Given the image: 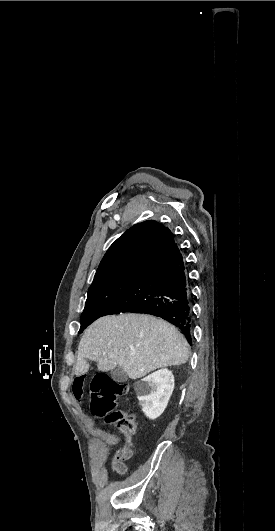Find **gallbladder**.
Segmentation results:
<instances>
[{
	"instance_id": "bac80fb5",
	"label": "gallbladder",
	"mask_w": 275,
	"mask_h": 531,
	"mask_svg": "<svg viewBox=\"0 0 275 531\" xmlns=\"http://www.w3.org/2000/svg\"><path fill=\"white\" fill-rule=\"evenodd\" d=\"M110 377L113 381H116V383H126L128 379L127 373H125L124 369H121L119 365H117L115 369H112Z\"/></svg>"
}]
</instances>
